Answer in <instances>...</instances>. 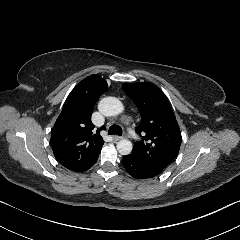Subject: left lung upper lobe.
Instances as JSON below:
<instances>
[{
  "mask_svg": "<svg viewBox=\"0 0 240 240\" xmlns=\"http://www.w3.org/2000/svg\"><path fill=\"white\" fill-rule=\"evenodd\" d=\"M123 90L140 110L136 127L141 141L131 156L146 166L165 169L176 158L182 136L172 108L162 91L152 83H125Z\"/></svg>",
  "mask_w": 240,
  "mask_h": 240,
  "instance_id": "obj_1",
  "label": "left lung upper lobe"
}]
</instances>
